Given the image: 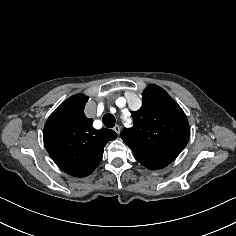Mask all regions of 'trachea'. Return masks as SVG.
Wrapping results in <instances>:
<instances>
[{
  "mask_svg": "<svg viewBox=\"0 0 236 236\" xmlns=\"http://www.w3.org/2000/svg\"><path fill=\"white\" fill-rule=\"evenodd\" d=\"M102 121L107 128H113L116 123V119L111 113L105 114L102 118Z\"/></svg>",
  "mask_w": 236,
  "mask_h": 236,
  "instance_id": "trachea-1",
  "label": "trachea"
}]
</instances>
